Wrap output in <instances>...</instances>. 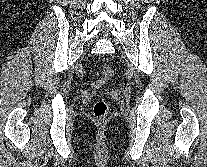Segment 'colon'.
<instances>
[{"label":"colon","instance_id":"5ec220e1","mask_svg":"<svg viewBox=\"0 0 207 167\" xmlns=\"http://www.w3.org/2000/svg\"><path fill=\"white\" fill-rule=\"evenodd\" d=\"M113 76V70L109 67H104L101 71L93 78L92 86L95 88L100 87L106 81L111 79ZM109 112V105L105 101H97L93 106V115L95 118L102 120L106 118Z\"/></svg>","mask_w":207,"mask_h":167}]
</instances>
